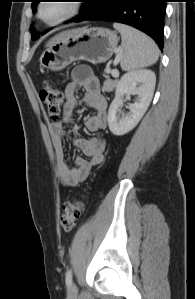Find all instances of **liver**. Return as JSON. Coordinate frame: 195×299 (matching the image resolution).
Here are the masks:
<instances>
[{
	"mask_svg": "<svg viewBox=\"0 0 195 299\" xmlns=\"http://www.w3.org/2000/svg\"><path fill=\"white\" fill-rule=\"evenodd\" d=\"M67 33H69V31H66V32H62L56 36H54L52 39H50L48 42H47V47L53 45L54 43H56L57 41H59L64 35H66Z\"/></svg>",
	"mask_w": 195,
	"mask_h": 299,
	"instance_id": "6515ba94",
	"label": "liver"
}]
</instances>
